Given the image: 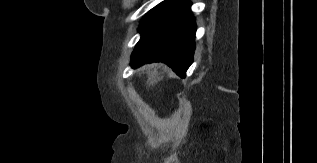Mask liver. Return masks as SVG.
<instances>
[{
    "instance_id": "obj_1",
    "label": "liver",
    "mask_w": 317,
    "mask_h": 163,
    "mask_svg": "<svg viewBox=\"0 0 317 163\" xmlns=\"http://www.w3.org/2000/svg\"><path fill=\"white\" fill-rule=\"evenodd\" d=\"M156 71H154L152 74H149V76H148V81H147V83L149 84V85H152L153 84V82H154V79H155V77H156Z\"/></svg>"
}]
</instances>
